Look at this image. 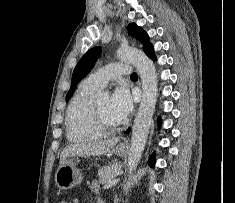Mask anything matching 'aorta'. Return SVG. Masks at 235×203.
<instances>
[{
  "mask_svg": "<svg viewBox=\"0 0 235 203\" xmlns=\"http://www.w3.org/2000/svg\"><path fill=\"white\" fill-rule=\"evenodd\" d=\"M117 57L134 65L142 82V99L132 128L128 157V168L131 173L137 167L147 142L157 101L158 78L152 60L143 52L133 48H121L117 52Z\"/></svg>",
  "mask_w": 235,
  "mask_h": 203,
  "instance_id": "762f6f07",
  "label": "aorta"
}]
</instances>
